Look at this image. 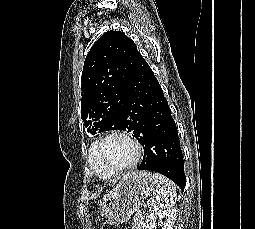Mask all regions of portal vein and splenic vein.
<instances>
[{"label": "portal vein and splenic vein", "instance_id": "portal-vein-and-splenic-vein-1", "mask_svg": "<svg viewBox=\"0 0 255 229\" xmlns=\"http://www.w3.org/2000/svg\"><path fill=\"white\" fill-rule=\"evenodd\" d=\"M140 214H142V211H138Z\"/></svg>", "mask_w": 255, "mask_h": 229}]
</instances>
